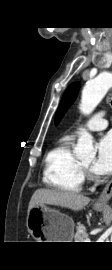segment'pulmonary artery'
Segmentation results:
<instances>
[{"label":"pulmonary artery","mask_w":112,"mask_h":270,"mask_svg":"<svg viewBox=\"0 0 112 270\" xmlns=\"http://www.w3.org/2000/svg\"><path fill=\"white\" fill-rule=\"evenodd\" d=\"M108 126V121L103 117V113H96L86 124L85 127L91 131H100Z\"/></svg>","instance_id":"pulmonary-artery-1"}]
</instances>
